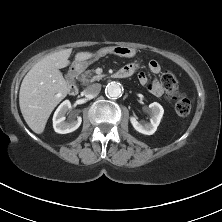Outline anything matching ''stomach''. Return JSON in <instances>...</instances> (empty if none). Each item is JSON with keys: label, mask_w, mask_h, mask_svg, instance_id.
Listing matches in <instances>:
<instances>
[{"label": "stomach", "mask_w": 222, "mask_h": 222, "mask_svg": "<svg viewBox=\"0 0 222 222\" xmlns=\"http://www.w3.org/2000/svg\"><path fill=\"white\" fill-rule=\"evenodd\" d=\"M106 53H113L120 57L130 58L136 54V50L128 46H115V47L105 49L103 54H106ZM91 62L92 61H88V59L87 60L75 59L74 62L72 63V66L76 69H85L88 67L89 64H91Z\"/></svg>", "instance_id": "obj_1"}]
</instances>
